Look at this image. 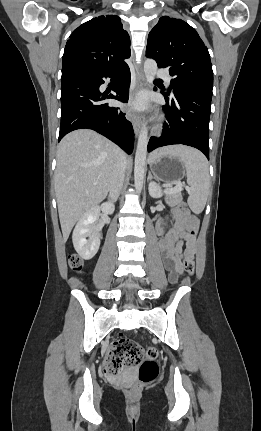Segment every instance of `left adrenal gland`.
Here are the masks:
<instances>
[{
  "label": "left adrenal gland",
  "mask_w": 261,
  "mask_h": 431,
  "mask_svg": "<svg viewBox=\"0 0 261 431\" xmlns=\"http://www.w3.org/2000/svg\"><path fill=\"white\" fill-rule=\"evenodd\" d=\"M150 179H152V175H151V173L149 172L148 180H150Z\"/></svg>",
  "instance_id": "a2214340"
}]
</instances>
